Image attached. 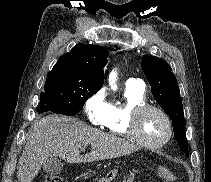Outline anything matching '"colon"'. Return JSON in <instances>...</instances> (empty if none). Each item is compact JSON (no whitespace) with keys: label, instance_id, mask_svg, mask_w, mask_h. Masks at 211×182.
Returning a JSON list of instances; mask_svg holds the SVG:
<instances>
[{"label":"colon","instance_id":"1","mask_svg":"<svg viewBox=\"0 0 211 182\" xmlns=\"http://www.w3.org/2000/svg\"><path fill=\"white\" fill-rule=\"evenodd\" d=\"M159 176L166 181H173L174 175L164 167L157 169ZM117 176L116 170L109 171L105 176L100 177L96 182H112ZM44 182H63L62 178L55 174H47L44 178Z\"/></svg>","mask_w":211,"mask_h":182}]
</instances>
